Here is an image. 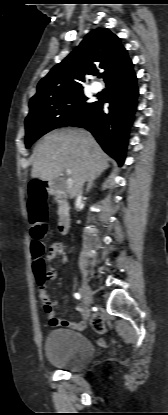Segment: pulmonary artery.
<instances>
[{"label":"pulmonary artery","mask_w":168,"mask_h":415,"mask_svg":"<svg viewBox=\"0 0 168 415\" xmlns=\"http://www.w3.org/2000/svg\"><path fill=\"white\" fill-rule=\"evenodd\" d=\"M91 89H92V91H93V92L97 93V92H100V91L102 90V86H101V84H100V83H98V82H94V83L91 85Z\"/></svg>","instance_id":"1"}]
</instances>
